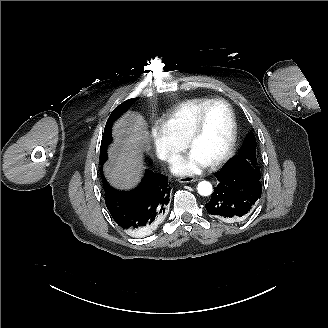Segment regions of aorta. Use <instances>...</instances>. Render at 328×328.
Returning <instances> with one entry per match:
<instances>
[{
	"mask_svg": "<svg viewBox=\"0 0 328 328\" xmlns=\"http://www.w3.org/2000/svg\"><path fill=\"white\" fill-rule=\"evenodd\" d=\"M198 193L202 196H209L213 192V188L210 182L208 181H201L198 183L197 186Z\"/></svg>",
	"mask_w": 328,
	"mask_h": 328,
	"instance_id": "762f6f07",
	"label": "aorta"
}]
</instances>
